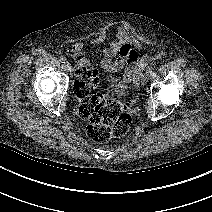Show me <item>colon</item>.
<instances>
[{
    "label": "colon",
    "mask_w": 212,
    "mask_h": 212,
    "mask_svg": "<svg viewBox=\"0 0 212 212\" xmlns=\"http://www.w3.org/2000/svg\"><path fill=\"white\" fill-rule=\"evenodd\" d=\"M75 74L74 88L80 98L79 114L89 122L87 136L96 142L123 136L132 122L128 105L92 93L97 83V72L83 54L75 56Z\"/></svg>",
    "instance_id": "1"
}]
</instances>
